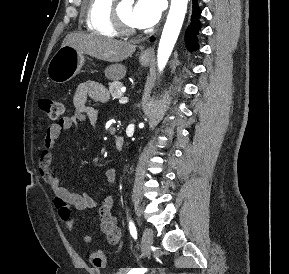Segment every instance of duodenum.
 Listing matches in <instances>:
<instances>
[{
  "mask_svg": "<svg viewBox=\"0 0 289 274\" xmlns=\"http://www.w3.org/2000/svg\"><path fill=\"white\" fill-rule=\"evenodd\" d=\"M114 146L116 150L121 151L124 147V138L122 136H117L114 140Z\"/></svg>",
  "mask_w": 289,
  "mask_h": 274,
  "instance_id": "410a0bca",
  "label": "duodenum"
}]
</instances>
